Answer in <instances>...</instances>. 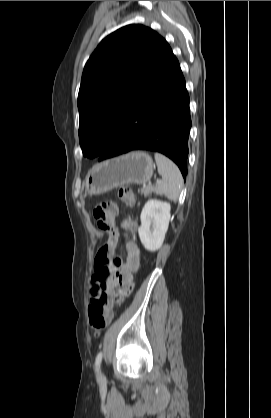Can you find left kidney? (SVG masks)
<instances>
[{
	"instance_id": "5707ae66",
	"label": "left kidney",
	"mask_w": 271,
	"mask_h": 418,
	"mask_svg": "<svg viewBox=\"0 0 271 418\" xmlns=\"http://www.w3.org/2000/svg\"><path fill=\"white\" fill-rule=\"evenodd\" d=\"M170 204L151 199L146 202L141 212L139 238L145 249L154 252L161 248L168 230Z\"/></svg>"
}]
</instances>
